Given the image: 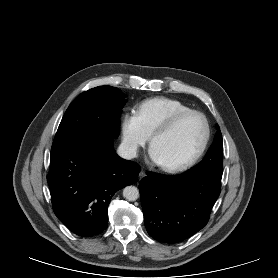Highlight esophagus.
Wrapping results in <instances>:
<instances>
[{
	"label": "esophagus",
	"mask_w": 278,
	"mask_h": 278,
	"mask_svg": "<svg viewBox=\"0 0 278 278\" xmlns=\"http://www.w3.org/2000/svg\"><path fill=\"white\" fill-rule=\"evenodd\" d=\"M146 177V173L144 171H140L139 175H138V178L139 180L143 179Z\"/></svg>",
	"instance_id": "1"
}]
</instances>
